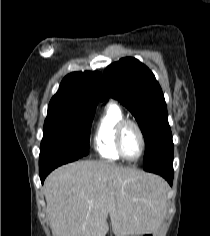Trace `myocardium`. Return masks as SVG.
I'll list each match as a JSON object with an SVG mask.
<instances>
[{
  "instance_id": "obj_1",
  "label": "myocardium",
  "mask_w": 210,
  "mask_h": 236,
  "mask_svg": "<svg viewBox=\"0 0 210 236\" xmlns=\"http://www.w3.org/2000/svg\"><path fill=\"white\" fill-rule=\"evenodd\" d=\"M129 125L133 126L136 129V131L139 134L140 142H141L140 152H139L138 156L135 158L126 157V155L124 154L123 149H122L123 131ZM115 146H116V150H117L118 154L120 155V157L123 160L128 161V162H135V161L139 160L142 157V155L145 151V147H146L145 135H144L143 130L140 127V125L136 121L131 120V119H123L122 121H120L119 124L117 125V128H116Z\"/></svg>"
}]
</instances>
